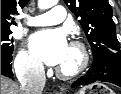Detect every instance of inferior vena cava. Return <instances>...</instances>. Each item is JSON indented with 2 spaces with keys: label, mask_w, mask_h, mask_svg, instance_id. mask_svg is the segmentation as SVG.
<instances>
[{
  "label": "inferior vena cava",
  "mask_w": 121,
  "mask_h": 94,
  "mask_svg": "<svg viewBox=\"0 0 121 94\" xmlns=\"http://www.w3.org/2000/svg\"><path fill=\"white\" fill-rule=\"evenodd\" d=\"M17 77L21 83L22 94H42L46 82L45 71L42 65H25L18 70Z\"/></svg>",
  "instance_id": "obj_1"
}]
</instances>
